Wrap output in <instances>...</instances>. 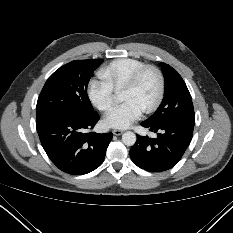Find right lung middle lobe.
Instances as JSON below:
<instances>
[{
  "instance_id": "obj_1",
  "label": "right lung middle lobe",
  "mask_w": 233,
  "mask_h": 233,
  "mask_svg": "<svg viewBox=\"0 0 233 233\" xmlns=\"http://www.w3.org/2000/svg\"><path fill=\"white\" fill-rule=\"evenodd\" d=\"M102 62V59L76 60L56 70L39 95L36 122L47 117H80L95 112L87 95V86Z\"/></svg>"
}]
</instances>
